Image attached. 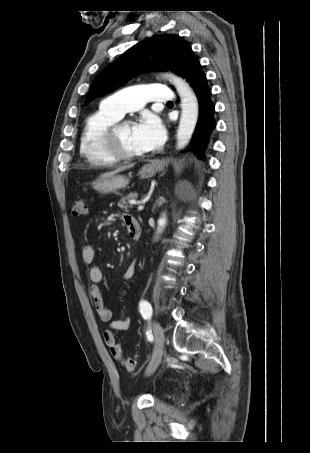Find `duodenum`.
Instances as JSON below:
<instances>
[{
  "label": "duodenum",
  "mask_w": 310,
  "mask_h": 453,
  "mask_svg": "<svg viewBox=\"0 0 310 453\" xmlns=\"http://www.w3.org/2000/svg\"><path fill=\"white\" fill-rule=\"evenodd\" d=\"M127 230H128V234L132 240L139 239L140 232H141V226H140L138 220H137V222L131 224Z\"/></svg>",
  "instance_id": "1"
}]
</instances>
